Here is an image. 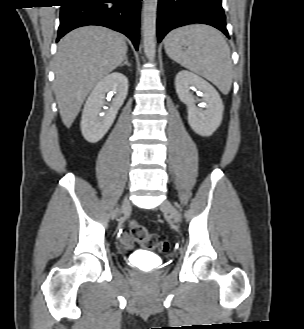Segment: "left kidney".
<instances>
[{
	"mask_svg": "<svg viewBox=\"0 0 304 329\" xmlns=\"http://www.w3.org/2000/svg\"><path fill=\"white\" fill-rule=\"evenodd\" d=\"M175 88L179 99L187 105L188 123L193 131L201 136H211L220 126L224 105L216 89L203 78L186 70L175 78ZM191 90L202 93V108L195 105L197 100Z\"/></svg>",
	"mask_w": 304,
	"mask_h": 329,
	"instance_id": "obj_1",
	"label": "left kidney"
}]
</instances>
